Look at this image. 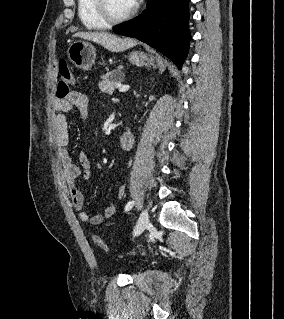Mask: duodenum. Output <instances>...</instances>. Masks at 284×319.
Wrapping results in <instances>:
<instances>
[{
    "instance_id": "duodenum-1",
    "label": "duodenum",
    "mask_w": 284,
    "mask_h": 319,
    "mask_svg": "<svg viewBox=\"0 0 284 319\" xmlns=\"http://www.w3.org/2000/svg\"><path fill=\"white\" fill-rule=\"evenodd\" d=\"M134 133L132 131H126L120 138L119 147L122 150H130L134 144Z\"/></svg>"
}]
</instances>
